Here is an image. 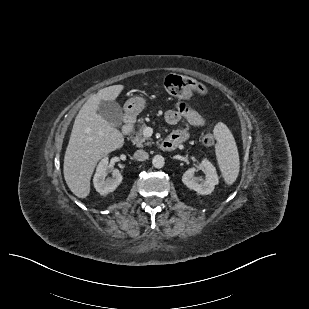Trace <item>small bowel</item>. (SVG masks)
Instances as JSON below:
<instances>
[{"label": "small bowel", "mask_w": 309, "mask_h": 309, "mask_svg": "<svg viewBox=\"0 0 309 309\" xmlns=\"http://www.w3.org/2000/svg\"><path fill=\"white\" fill-rule=\"evenodd\" d=\"M164 117L169 124H176L181 117H184L194 127L204 125V119L201 114L198 111L189 108L184 103H180L176 107L168 109L165 112ZM170 137L178 139L179 142L182 143L188 139V133L185 129H179L174 131Z\"/></svg>", "instance_id": "small-bowel-1"}]
</instances>
